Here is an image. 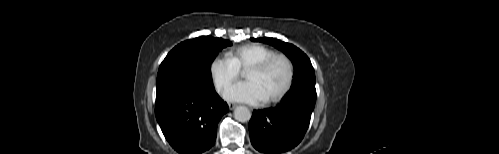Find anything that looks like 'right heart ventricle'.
<instances>
[{
  "mask_svg": "<svg viewBox=\"0 0 499 154\" xmlns=\"http://www.w3.org/2000/svg\"><path fill=\"white\" fill-rule=\"evenodd\" d=\"M276 53L272 48L259 43H249L230 50L227 57L240 70H247L252 65Z\"/></svg>",
  "mask_w": 499,
  "mask_h": 154,
  "instance_id": "right-heart-ventricle-1",
  "label": "right heart ventricle"
}]
</instances>
